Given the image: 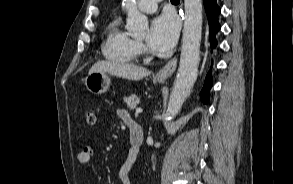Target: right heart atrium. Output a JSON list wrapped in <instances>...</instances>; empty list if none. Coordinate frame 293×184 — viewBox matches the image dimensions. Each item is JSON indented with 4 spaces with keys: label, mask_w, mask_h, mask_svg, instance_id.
Instances as JSON below:
<instances>
[{
    "label": "right heart atrium",
    "mask_w": 293,
    "mask_h": 184,
    "mask_svg": "<svg viewBox=\"0 0 293 184\" xmlns=\"http://www.w3.org/2000/svg\"><path fill=\"white\" fill-rule=\"evenodd\" d=\"M137 48H138L139 52H141V51L144 50V46H143V44L140 43V42H137Z\"/></svg>",
    "instance_id": "right-heart-atrium-1"
}]
</instances>
